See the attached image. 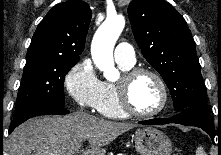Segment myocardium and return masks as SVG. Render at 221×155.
Instances as JSON below:
<instances>
[{"mask_svg": "<svg viewBox=\"0 0 221 155\" xmlns=\"http://www.w3.org/2000/svg\"><path fill=\"white\" fill-rule=\"evenodd\" d=\"M143 74L152 76L158 83L162 93V101L160 106L156 110L146 113L138 111L132 104L130 97V89L133 82L136 80V78H138L140 75ZM116 88H117L119 104L122 110L129 116H134L139 118L155 117L161 114L166 109L169 102V92L164 79L158 72L150 68H145V67L131 68L122 75L120 80L116 83Z\"/></svg>", "mask_w": 221, "mask_h": 155, "instance_id": "1", "label": "myocardium"}]
</instances>
